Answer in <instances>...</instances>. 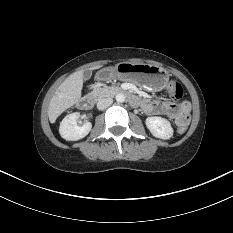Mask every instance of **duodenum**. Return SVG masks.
I'll return each mask as SVG.
<instances>
[{
	"instance_id": "obj_1",
	"label": "duodenum",
	"mask_w": 233,
	"mask_h": 233,
	"mask_svg": "<svg viewBox=\"0 0 233 233\" xmlns=\"http://www.w3.org/2000/svg\"><path fill=\"white\" fill-rule=\"evenodd\" d=\"M114 92L117 94L126 95L129 102L133 105H137L140 102L139 98L136 95L130 93L128 90L124 88H115ZM94 103H95V96L91 94H87L80 98L78 104L80 108L88 110L93 107Z\"/></svg>"
}]
</instances>
